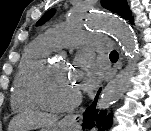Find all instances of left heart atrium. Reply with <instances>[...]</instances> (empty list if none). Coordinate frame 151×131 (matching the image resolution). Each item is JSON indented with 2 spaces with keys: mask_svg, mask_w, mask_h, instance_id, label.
Masks as SVG:
<instances>
[{
  "mask_svg": "<svg viewBox=\"0 0 151 131\" xmlns=\"http://www.w3.org/2000/svg\"><path fill=\"white\" fill-rule=\"evenodd\" d=\"M74 65L73 78L78 89H92L96 85L98 78V71L93 60L89 56L82 54L77 57Z\"/></svg>",
  "mask_w": 151,
  "mask_h": 131,
  "instance_id": "39dd6f15",
  "label": "left heart atrium"
}]
</instances>
